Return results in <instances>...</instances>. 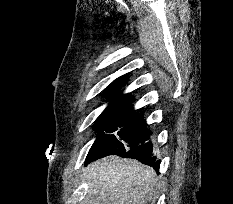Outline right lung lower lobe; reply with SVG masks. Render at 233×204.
<instances>
[{"mask_svg":"<svg viewBox=\"0 0 233 204\" xmlns=\"http://www.w3.org/2000/svg\"><path fill=\"white\" fill-rule=\"evenodd\" d=\"M111 154L119 155L121 157L126 158H134L141 161L144 164L152 166L155 170H159L160 160H156V156L153 153V146L150 141H146L144 143L135 145L126 150L113 152L103 148L91 147L86 158V164L95 159Z\"/></svg>","mask_w":233,"mask_h":204,"instance_id":"right-lung-lower-lobe-1","label":"right lung lower lobe"}]
</instances>
